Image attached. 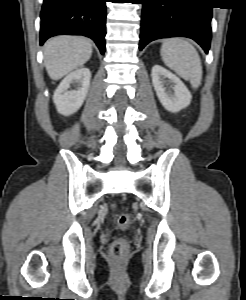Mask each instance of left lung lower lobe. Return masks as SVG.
I'll use <instances>...</instances> for the list:
<instances>
[{"instance_id":"obj_1","label":"left lung lower lobe","mask_w":246,"mask_h":300,"mask_svg":"<svg viewBox=\"0 0 246 300\" xmlns=\"http://www.w3.org/2000/svg\"><path fill=\"white\" fill-rule=\"evenodd\" d=\"M142 4L140 50L156 39L183 36L208 53L212 7L207 0H142Z\"/></svg>"}]
</instances>
